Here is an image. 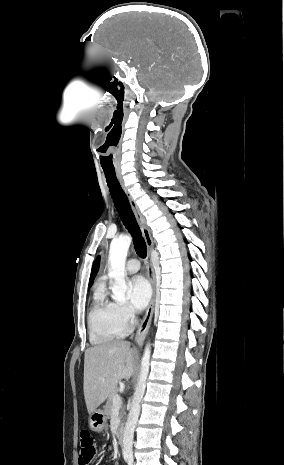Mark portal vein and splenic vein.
Listing matches in <instances>:
<instances>
[{
  "label": "portal vein and splenic vein",
  "mask_w": 284,
  "mask_h": 465,
  "mask_svg": "<svg viewBox=\"0 0 284 465\" xmlns=\"http://www.w3.org/2000/svg\"><path fill=\"white\" fill-rule=\"evenodd\" d=\"M121 405H122V399L120 395H115V397H113V407H121Z\"/></svg>",
  "instance_id": "portal-vein-and-splenic-vein-1"
}]
</instances>
